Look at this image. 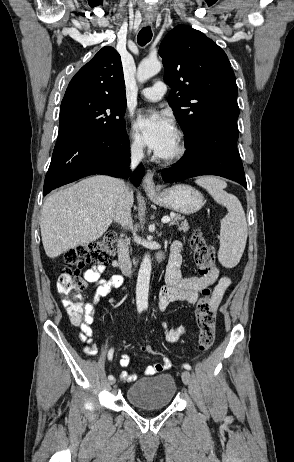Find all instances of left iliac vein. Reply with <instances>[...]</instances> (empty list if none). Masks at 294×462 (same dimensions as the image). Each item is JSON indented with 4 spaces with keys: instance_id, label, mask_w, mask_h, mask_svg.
I'll return each mask as SVG.
<instances>
[{
    "instance_id": "4c4485c4",
    "label": "left iliac vein",
    "mask_w": 294,
    "mask_h": 462,
    "mask_svg": "<svg viewBox=\"0 0 294 462\" xmlns=\"http://www.w3.org/2000/svg\"><path fill=\"white\" fill-rule=\"evenodd\" d=\"M182 381L184 384L188 385L191 381V374L189 371L182 372Z\"/></svg>"
}]
</instances>
